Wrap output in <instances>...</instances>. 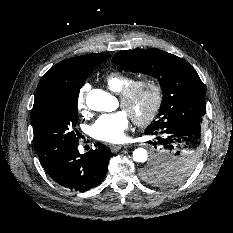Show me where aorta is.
<instances>
[{"label": "aorta", "mask_w": 233, "mask_h": 233, "mask_svg": "<svg viewBox=\"0 0 233 233\" xmlns=\"http://www.w3.org/2000/svg\"><path fill=\"white\" fill-rule=\"evenodd\" d=\"M87 106L94 111L111 112L117 108V99L110 93L101 89H93L86 96ZM162 161L167 160V155L160 156ZM148 159V153L143 148H137L133 152V160L139 163H144Z\"/></svg>", "instance_id": "aorta-1"}]
</instances>
